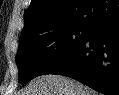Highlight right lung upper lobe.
<instances>
[{"label":"right lung upper lobe","mask_w":119,"mask_h":95,"mask_svg":"<svg viewBox=\"0 0 119 95\" xmlns=\"http://www.w3.org/2000/svg\"><path fill=\"white\" fill-rule=\"evenodd\" d=\"M119 17V0H32L20 37L49 26L76 24L94 28Z\"/></svg>","instance_id":"1"}]
</instances>
